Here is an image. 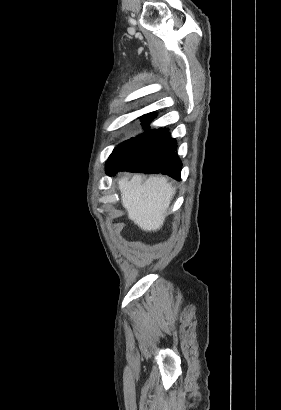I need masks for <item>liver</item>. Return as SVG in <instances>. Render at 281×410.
I'll use <instances>...</instances> for the list:
<instances>
[{
	"mask_svg": "<svg viewBox=\"0 0 281 410\" xmlns=\"http://www.w3.org/2000/svg\"><path fill=\"white\" fill-rule=\"evenodd\" d=\"M122 205L128 218L144 231H157L165 221L166 213L176 188L164 177H150L142 182L137 174L118 181Z\"/></svg>",
	"mask_w": 281,
	"mask_h": 410,
	"instance_id": "liver-1",
	"label": "liver"
}]
</instances>
